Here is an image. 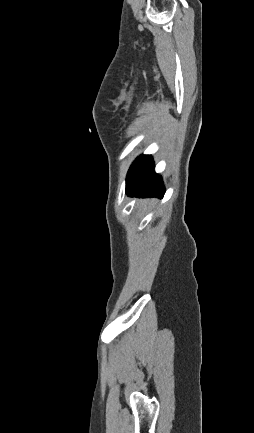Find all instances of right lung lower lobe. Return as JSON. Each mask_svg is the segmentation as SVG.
I'll use <instances>...</instances> for the list:
<instances>
[{
	"label": "right lung lower lobe",
	"instance_id": "right-lung-lower-lobe-1",
	"mask_svg": "<svg viewBox=\"0 0 254 433\" xmlns=\"http://www.w3.org/2000/svg\"><path fill=\"white\" fill-rule=\"evenodd\" d=\"M126 192L129 196L164 195L162 179L154 172L153 159L150 155L138 157L130 167L126 178Z\"/></svg>",
	"mask_w": 254,
	"mask_h": 433
}]
</instances>
